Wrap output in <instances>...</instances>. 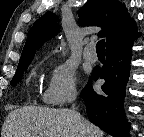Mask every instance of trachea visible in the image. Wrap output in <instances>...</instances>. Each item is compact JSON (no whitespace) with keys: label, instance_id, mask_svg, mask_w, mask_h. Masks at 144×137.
Segmentation results:
<instances>
[{"label":"trachea","instance_id":"obj_1","mask_svg":"<svg viewBox=\"0 0 144 137\" xmlns=\"http://www.w3.org/2000/svg\"><path fill=\"white\" fill-rule=\"evenodd\" d=\"M96 52L98 54H105V40L102 39L96 44Z\"/></svg>","mask_w":144,"mask_h":137}]
</instances>
